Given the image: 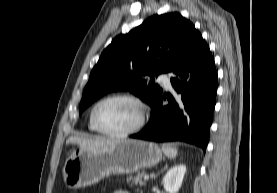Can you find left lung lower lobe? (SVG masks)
<instances>
[{
  "mask_svg": "<svg viewBox=\"0 0 277 193\" xmlns=\"http://www.w3.org/2000/svg\"><path fill=\"white\" fill-rule=\"evenodd\" d=\"M172 72L176 93L164 95L154 105L147 127L131 135L149 141H186L206 150L217 93V72L206 42L199 34L184 58ZM169 104L162 105L163 99Z\"/></svg>",
  "mask_w": 277,
  "mask_h": 193,
  "instance_id": "0a47b994",
  "label": "left lung lower lobe"
}]
</instances>
